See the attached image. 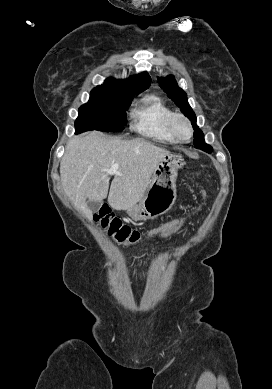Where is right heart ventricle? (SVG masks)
<instances>
[{
  "label": "right heart ventricle",
  "mask_w": 272,
  "mask_h": 389,
  "mask_svg": "<svg viewBox=\"0 0 272 389\" xmlns=\"http://www.w3.org/2000/svg\"><path fill=\"white\" fill-rule=\"evenodd\" d=\"M173 114L169 105L157 95H146L138 101L131 113L135 132L156 141L177 143L169 129Z\"/></svg>",
  "instance_id": "right-heart-ventricle-1"
}]
</instances>
